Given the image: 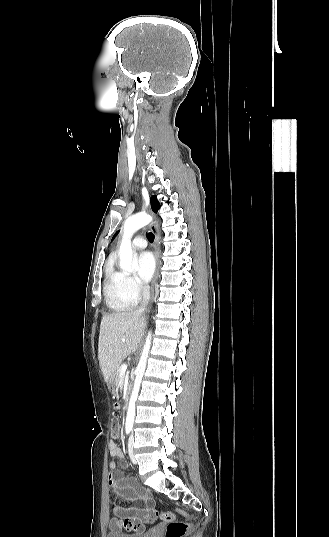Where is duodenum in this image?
Returning <instances> with one entry per match:
<instances>
[{"instance_id":"duodenum-1","label":"duodenum","mask_w":329,"mask_h":537,"mask_svg":"<svg viewBox=\"0 0 329 537\" xmlns=\"http://www.w3.org/2000/svg\"><path fill=\"white\" fill-rule=\"evenodd\" d=\"M127 401H128V398L127 396L125 397V405L127 404Z\"/></svg>"}]
</instances>
